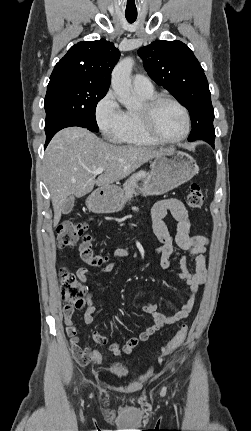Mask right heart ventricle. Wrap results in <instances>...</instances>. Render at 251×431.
Masks as SVG:
<instances>
[{
    "label": "right heart ventricle",
    "instance_id": "1",
    "mask_svg": "<svg viewBox=\"0 0 251 431\" xmlns=\"http://www.w3.org/2000/svg\"><path fill=\"white\" fill-rule=\"evenodd\" d=\"M138 93L147 100L155 96L153 91L150 93ZM116 141L134 146H155L157 144L145 133L139 111L132 110L125 112V124L120 134L116 137Z\"/></svg>",
    "mask_w": 251,
    "mask_h": 431
}]
</instances>
